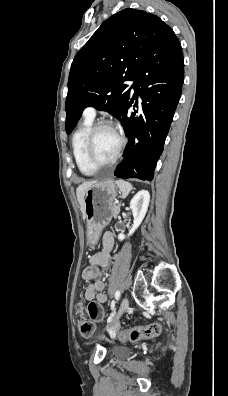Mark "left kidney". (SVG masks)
I'll return each mask as SVG.
<instances>
[{
  "label": "left kidney",
  "mask_w": 228,
  "mask_h": 396,
  "mask_svg": "<svg viewBox=\"0 0 228 396\" xmlns=\"http://www.w3.org/2000/svg\"><path fill=\"white\" fill-rule=\"evenodd\" d=\"M150 201V194L147 190H140L131 200L130 209L132 210L134 221L128 236L132 235L143 221ZM126 236L123 233L118 235L120 241L124 240Z\"/></svg>",
  "instance_id": "1"
}]
</instances>
